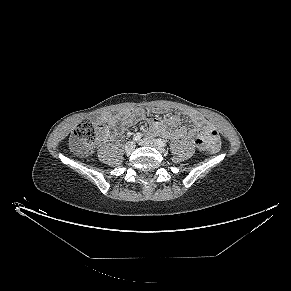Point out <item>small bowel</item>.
I'll return each mask as SVG.
<instances>
[{
  "label": "small bowel",
  "instance_id": "small-bowel-1",
  "mask_svg": "<svg viewBox=\"0 0 291 291\" xmlns=\"http://www.w3.org/2000/svg\"><path fill=\"white\" fill-rule=\"evenodd\" d=\"M168 111L165 107H156L153 109L154 113L163 114ZM189 117L198 126L193 131H188L187 128L180 126V120L178 117H169L165 119L148 118L147 121L150 127V134H160L170 139H182L190 137L193 144L199 149H205L207 146L215 141L218 137L215 128L201 115L197 113H190ZM104 120L110 121L116 128L117 133H120L127 127L134 123L145 120V114L142 110H123L116 116H112L109 113L102 115Z\"/></svg>",
  "mask_w": 291,
  "mask_h": 291
}]
</instances>
